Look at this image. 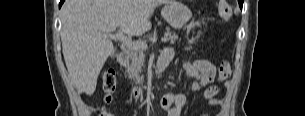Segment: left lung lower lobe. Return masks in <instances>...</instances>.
Listing matches in <instances>:
<instances>
[{
  "instance_id": "obj_1",
  "label": "left lung lower lobe",
  "mask_w": 305,
  "mask_h": 116,
  "mask_svg": "<svg viewBox=\"0 0 305 116\" xmlns=\"http://www.w3.org/2000/svg\"><path fill=\"white\" fill-rule=\"evenodd\" d=\"M242 4H243V0H239L240 7H242Z\"/></svg>"
}]
</instances>
